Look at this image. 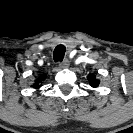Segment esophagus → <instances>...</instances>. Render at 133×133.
I'll use <instances>...</instances> for the list:
<instances>
[{
  "instance_id": "obj_1",
  "label": "esophagus",
  "mask_w": 133,
  "mask_h": 133,
  "mask_svg": "<svg viewBox=\"0 0 133 133\" xmlns=\"http://www.w3.org/2000/svg\"><path fill=\"white\" fill-rule=\"evenodd\" d=\"M60 68H66L69 66V60L64 59L62 62L59 63Z\"/></svg>"
}]
</instances>
